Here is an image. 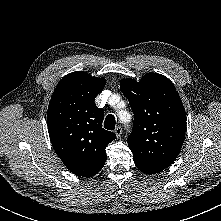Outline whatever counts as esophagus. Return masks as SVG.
<instances>
[{
	"instance_id": "34e87169",
	"label": "esophagus",
	"mask_w": 221,
	"mask_h": 221,
	"mask_svg": "<svg viewBox=\"0 0 221 221\" xmlns=\"http://www.w3.org/2000/svg\"><path fill=\"white\" fill-rule=\"evenodd\" d=\"M114 132H115L117 138H119L121 136V134H122V128L120 126H117L115 128Z\"/></svg>"
}]
</instances>
